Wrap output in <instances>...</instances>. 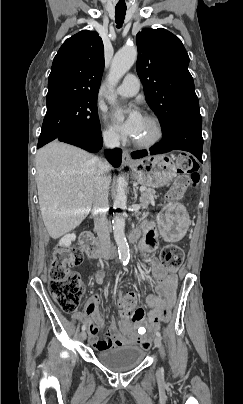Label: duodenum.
<instances>
[{
	"mask_svg": "<svg viewBox=\"0 0 243 404\" xmlns=\"http://www.w3.org/2000/svg\"><path fill=\"white\" fill-rule=\"evenodd\" d=\"M138 233L133 232L130 235L131 242H136ZM80 244L83 251L91 258H111L113 255L110 252H105L98 241L94 238L91 232L85 231L80 236Z\"/></svg>",
	"mask_w": 243,
	"mask_h": 404,
	"instance_id": "duodenum-1",
	"label": "duodenum"
}]
</instances>
